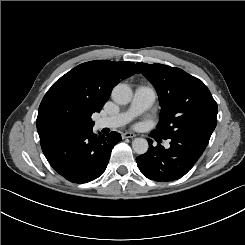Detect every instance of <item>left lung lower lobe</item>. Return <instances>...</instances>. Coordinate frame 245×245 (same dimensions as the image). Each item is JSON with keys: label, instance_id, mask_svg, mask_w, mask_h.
Wrapping results in <instances>:
<instances>
[{"label": "left lung lower lobe", "instance_id": "1", "mask_svg": "<svg viewBox=\"0 0 245 245\" xmlns=\"http://www.w3.org/2000/svg\"><path fill=\"white\" fill-rule=\"evenodd\" d=\"M151 136L158 137L154 132H151ZM159 138L156 141L161 140ZM169 140L170 148L165 149L160 144L154 147L153 141L148 139V151L136 158L137 166L148 179L158 182L180 179L193 167L206 148L183 138Z\"/></svg>", "mask_w": 245, "mask_h": 245}]
</instances>
